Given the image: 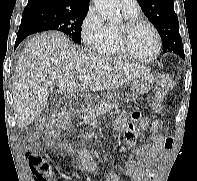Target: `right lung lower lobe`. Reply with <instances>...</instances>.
Here are the masks:
<instances>
[{
	"mask_svg": "<svg viewBox=\"0 0 197 181\" xmlns=\"http://www.w3.org/2000/svg\"><path fill=\"white\" fill-rule=\"evenodd\" d=\"M36 32H41L38 28L33 27L31 25L28 24H23L21 23L19 30H18V35H17V39L15 42V48L19 45V43L26 38L27 36L36 33Z\"/></svg>",
	"mask_w": 197,
	"mask_h": 181,
	"instance_id": "right-lung-lower-lobe-1",
	"label": "right lung lower lobe"
}]
</instances>
